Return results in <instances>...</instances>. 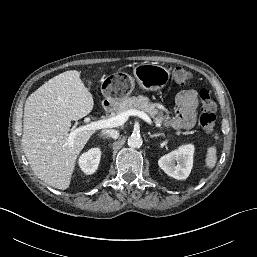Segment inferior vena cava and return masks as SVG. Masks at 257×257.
Wrapping results in <instances>:
<instances>
[{
    "label": "inferior vena cava",
    "mask_w": 257,
    "mask_h": 257,
    "mask_svg": "<svg viewBox=\"0 0 257 257\" xmlns=\"http://www.w3.org/2000/svg\"><path fill=\"white\" fill-rule=\"evenodd\" d=\"M102 134L113 139H117L119 137V131L115 129H104L102 130Z\"/></svg>",
    "instance_id": "1"
}]
</instances>
